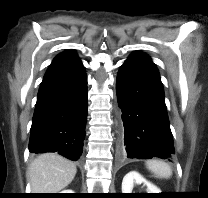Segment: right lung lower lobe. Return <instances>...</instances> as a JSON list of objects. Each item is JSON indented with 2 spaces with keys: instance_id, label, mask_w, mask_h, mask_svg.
<instances>
[{
  "instance_id": "obj_1",
  "label": "right lung lower lobe",
  "mask_w": 208,
  "mask_h": 198,
  "mask_svg": "<svg viewBox=\"0 0 208 198\" xmlns=\"http://www.w3.org/2000/svg\"><path fill=\"white\" fill-rule=\"evenodd\" d=\"M87 77L81 61L44 77L33 116L29 151L58 152L76 161L87 119Z\"/></svg>"
}]
</instances>
